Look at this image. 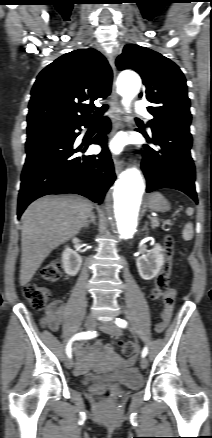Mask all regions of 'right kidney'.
<instances>
[{
    "label": "right kidney",
    "mask_w": 212,
    "mask_h": 438,
    "mask_svg": "<svg viewBox=\"0 0 212 438\" xmlns=\"http://www.w3.org/2000/svg\"><path fill=\"white\" fill-rule=\"evenodd\" d=\"M62 265L66 274L75 276L82 265V257L74 250L66 247L62 253Z\"/></svg>",
    "instance_id": "ca27d5eb"
}]
</instances>
